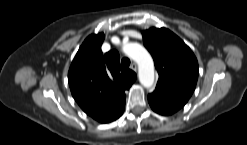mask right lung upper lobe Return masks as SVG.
I'll return each instance as SVG.
<instances>
[{"mask_svg": "<svg viewBox=\"0 0 247 145\" xmlns=\"http://www.w3.org/2000/svg\"><path fill=\"white\" fill-rule=\"evenodd\" d=\"M104 34L88 36L79 48L68 73L71 93L85 113L101 123L119 118L125 108V90L136 74L119 63V53L102 54Z\"/></svg>", "mask_w": 247, "mask_h": 145, "instance_id": "1", "label": "right lung upper lobe"}]
</instances>
